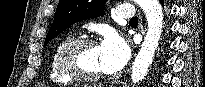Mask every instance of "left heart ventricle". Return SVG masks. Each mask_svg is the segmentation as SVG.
Instances as JSON below:
<instances>
[{
	"instance_id": "1",
	"label": "left heart ventricle",
	"mask_w": 205,
	"mask_h": 87,
	"mask_svg": "<svg viewBox=\"0 0 205 87\" xmlns=\"http://www.w3.org/2000/svg\"><path fill=\"white\" fill-rule=\"evenodd\" d=\"M76 68L85 75L101 72V60L98 46H85L76 51L72 56Z\"/></svg>"
}]
</instances>
